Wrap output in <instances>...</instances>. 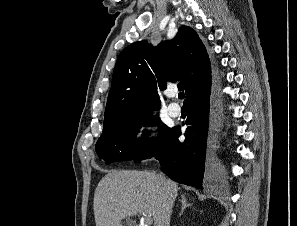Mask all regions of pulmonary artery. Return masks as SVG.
<instances>
[{
    "label": "pulmonary artery",
    "mask_w": 297,
    "mask_h": 226,
    "mask_svg": "<svg viewBox=\"0 0 297 226\" xmlns=\"http://www.w3.org/2000/svg\"><path fill=\"white\" fill-rule=\"evenodd\" d=\"M169 96H174V93H169ZM168 111H169L171 116L177 117L181 113V107L177 103H171L168 106Z\"/></svg>",
    "instance_id": "pulmonary-artery-1"
}]
</instances>
